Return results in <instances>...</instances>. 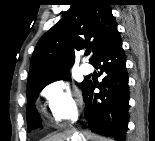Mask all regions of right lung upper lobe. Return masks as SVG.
Listing matches in <instances>:
<instances>
[{"label": "right lung upper lobe", "instance_id": "1", "mask_svg": "<svg viewBox=\"0 0 155 141\" xmlns=\"http://www.w3.org/2000/svg\"><path fill=\"white\" fill-rule=\"evenodd\" d=\"M117 32L107 0H74L62 19L38 41L32 55L27 88L47 78L67 73L74 50L98 51Z\"/></svg>", "mask_w": 155, "mask_h": 141}]
</instances>
